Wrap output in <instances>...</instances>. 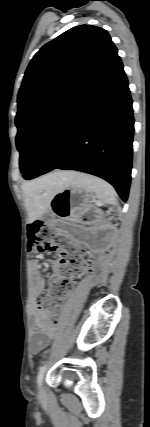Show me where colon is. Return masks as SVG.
Listing matches in <instances>:
<instances>
[{
    "label": "colon",
    "mask_w": 150,
    "mask_h": 427,
    "mask_svg": "<svg viewBox=\"0 0 150 427\" xmlns=\"http://www.w3.org/2000/svg\"><path fill=\"white\" fill-rule=\"evenodd\" d=\"M28 251L34 255L58 251L62 256L48 295L39 302V308L47 312L55 323L74 280L85 269V250L73 244L66 234L53 231L44 222L35 221L28 229Z\"/></svg>",
    "instance_id": "obj_1"
}]
</instances>
